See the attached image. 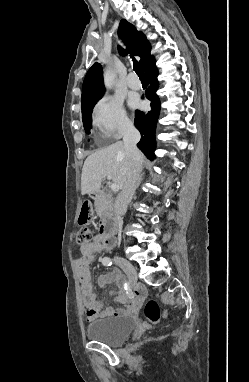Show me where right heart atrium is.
Wrapping results in <instances>:
<instances>
[{
	"mask_svg": "<svg viewBox=\"0 0 249 382\" xmlns=\"http://www.w3.org/2000/svg\"><path fill=\"white\" fill-rule=\"evenodd\" d=\"M92 120L99 133L111 139L121 137L132 126L122 101L113 96H104L96 103Z\"/></svg>",
	"mask_w": 249,
	"mask_h": 382,
	"instance_id": "1",
	"label": "right heart atrium"
}]
</instances>
